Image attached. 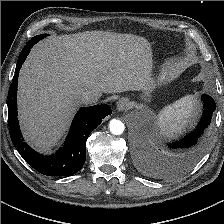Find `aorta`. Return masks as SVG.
I'll list each match as a JSON object with an SVG mask.
<instances>
[{
	"mask_svg": "<svg viewBox=\"0 0 224 224\" xmlns=\"http://www.w3.org/2000/svg\"><path fill=\"white\" fill-rule=\"evenodd\" d=\"M109 129L112 134L120 135L123 133L125 126L121 121L112 119L109 123Z\"/></svg>",
	"mask_w": 224,
	"mask_h": 224,
	"instance_id": "762f6f07",
	"label": "aorta"
}]
</instances>
